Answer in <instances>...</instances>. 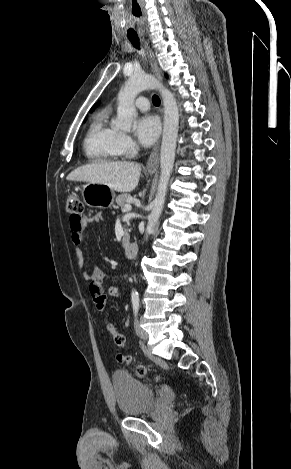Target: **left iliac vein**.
I'll return each instance as SVG.
<instances>
[{
    "mask_svg": "<svg viewBox=\"0 0 291 469\" xmlns=\"http://www.w3.org/2000/svg\"><path fill=\"white\" fill-rule=\"evenodd\" d=\"M134 325H135V331H136V334L138 335V337L141 338L144 341H147L148 334L143 328L140 327L137 320H135ZM145 352L148 353L147 350H145Z\"/></svg>",
    "mask_w": 291,
    "mask_h": 469,
    "instance_id": "4c4485c4",
    "label": "left iliac vein"
}]
</instances>
